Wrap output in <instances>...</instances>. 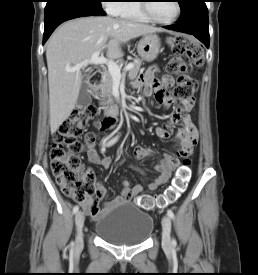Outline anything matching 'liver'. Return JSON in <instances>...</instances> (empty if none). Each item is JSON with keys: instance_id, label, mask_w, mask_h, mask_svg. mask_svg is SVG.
Returning a JSON list of instances; mask_svg holds the SVG:
<instances>
[{"instance_id": "obj_1", "label": "liver", "mask_w": 258, "mask_h": 275, "mask_svg": "<svg viewBox=\"0 0 258 275\" xmlns=\"http://www.w3.org/2000/svg\"><path fill=\"white\" fill-rule=\"evenodd\" d=\"M158 31L161 30L156 27L112 17H81L61 25L46 48L51 133L72 113L83 81L80 70L68 72L67 67H74L103 49H107L109 58H121L122 43Z\"/></svg>"}]
</instances>
